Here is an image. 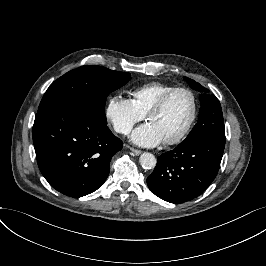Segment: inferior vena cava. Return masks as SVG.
I'll list each match as a JSON object with an SVG mask.
<instances>
[{"label": "inferior vena cava", "mask_w": 266, "mask_h": 266, "mask_svg": "<svg viewBox=\"0 0 266 266\" xmlns=\"http://www.w3.org/2000/svg\"><path fill=\"white\" fill-rule=\"evenodd\" d=\"M129 131H130V129H129V128H125V129H123L122 133H124V134H128V133H129Z\"/></svg>", "instance_id": "1"}]
</instances>
